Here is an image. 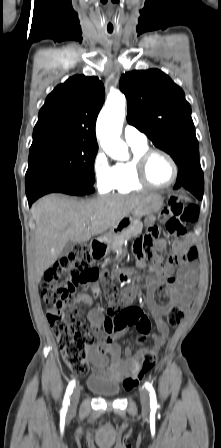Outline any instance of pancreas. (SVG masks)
<instances>
[{
  "mask_svg": "<svg viewBox=\"0 0 221 448\" xmlns=\"http://www.w3.org/2000/svg\"><path fill=\"white\" fill-rule=\"evenodd\" d=\"M143 225L141 222H134L130 227L123 231L120 235L115 236L110 244V249L114 252H122L125 241L132 237L139 235L142 231Z\"/></svg>",
  "mask_w": 221,
  "mask_h": 448,
  "instance_id": "pancreas-1",
  "label": "pancreas"
}]
</instances>
